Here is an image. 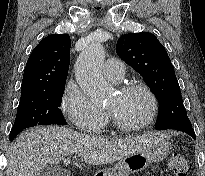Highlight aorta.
I'll return each mask as SVG.
<instances>
[{"instance_id":"aorta-1","label":"aorta","mask_w":205,"mask_h":176,"mask_svg":"<svg viewBox=\"0 0 205 176\" xmlns=\"http://www.w3.org/2000/svg\"><path fill=\"white\" fill-rule=\"evenodd\" d=\"M105 50L100 43H93L81 52L75 64V77L80 88L95 103H102L110 93V87L102 75Z\"/></svg>"}]
</instances>
